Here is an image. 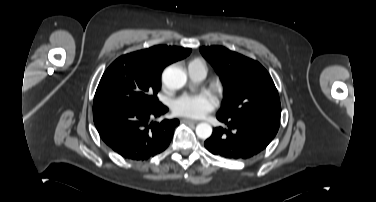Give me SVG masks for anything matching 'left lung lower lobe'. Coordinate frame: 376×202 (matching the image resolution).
<instances>
[{"label": "left lung lower lobe", "instance_id": "1", "mask_svg": "<svg viewBox=\"0 0 376 202\" xmlns=\"http://www.w3.org/2000/svg\"><path fill=\"white\" fill-rule=\"evenodd\" d=\"M217 119L226 128H214L204 145L212 154L229 159H247L259 154L274 139L280 125L255 116L226 117L217 114Z\"/></svg>", "mask_w": 376, "mask_h": 202}]
</instances>
